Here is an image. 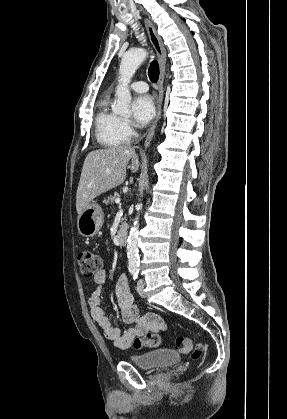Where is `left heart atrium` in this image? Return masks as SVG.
Listing matches in <instances>:
<instances>
[{
  "label": "left heart atrium",
  "instance_id": "1",
  "mask_svg": "<svg viewBox=\"0 0 287 419\" xmlns=\"http://www.w3.org/2000/svg\"><path fill=\"white\" fill-rule=\"evenodd\" d=\"M132 114L137 125H146L155 114L153 98L147 94L137 96L132 102Z\"/></svg>",
  "mask_w": 287,
  "mask_h": 419
}]
</instances>
